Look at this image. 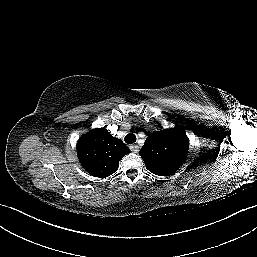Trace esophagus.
<instances>
[{
    "instance_id": "obj_1",
    "label": "esophagus",
    "mask_w": 257,
    "mask_h": 257,
    "mask_svg": "<svg viewBox=\"0 0 257 257\" xmlns=\"http://www.w3.org/2000/svg\"><path fill=\"white\" fill-rule=\"evenodd\" d=\"M130 150L134 153H137L139 151V146L136 144L130 145Z\"/></svg>"
}]
</instances>
